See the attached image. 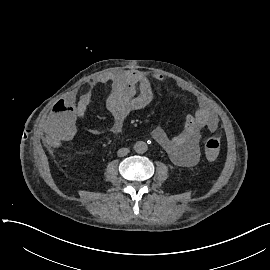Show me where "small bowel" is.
Here are the masks:
<instances>
[{"mask_svg": "<svg viewBox=\"0 0 270 270\" xmlns=\"http://www.w3.org/2000/svg\"><path fill=\"white\" fill-rule=\"evenodd\" d=\"M164 78L141 70H119L103 74L89 84V88L80 98L73 93H66L53 105L50 119L46 124V140L52 146L62 143L73 144L79 138L76 117H83L92 105L95 92L101 85L109 84L111 91L107 97V108L113 121L109 132L113 136L121 134L127 116L151 103L154 98V82ZM194 114H189L183 129L170 137L162 127L153 130L155 141L167 152L177 165L193 166L200 155L199 133L207 129L211 133L218 130V120L214 112L201 99ZM92 134L100 130L91 128Z\"/></svg>", "mask_w": 270, "mask_h": 270, "instance_id": "c3829d8e", "label": "small bowel"}]
</instances>
